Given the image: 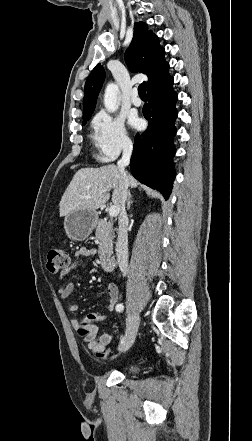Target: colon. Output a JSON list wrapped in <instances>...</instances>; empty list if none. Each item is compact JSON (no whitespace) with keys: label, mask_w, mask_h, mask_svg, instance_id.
Segmentation results:
<instances>
[{"label":"colon","mask_w":252,"mask_h":441,"mask_svg":"<svg viewBox=\"0 0 252 441\" xmlns=\"http://www.w3.org/2000/svg\"><path fill=\"white\" fill-rule=\"evenodd\" d=\"M68 264L69 258L63 250L52 248L48 251L46 267L50 273H57L58 271L66 268ZM107 314L108 310L89 313L82 321L77 323L78 332L81 335L86 336L95 323L103 321L107 318ZM96 356L101 359L106 358L108 356V351L100 352Z\"/></svg>","instance_id":"obj_1"}]
</instances>
